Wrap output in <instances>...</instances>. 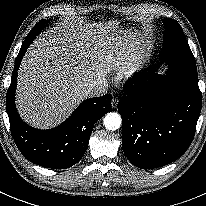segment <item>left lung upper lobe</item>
<instances>
[{
    "instance_id": "5c2ea615",
    "label": "left lung upper lobe",
    "mask_w": 206,
    "mask_h": 206,
    "mask_svg": "<svg viewBox=\"0 0 206 206\" xmlns=\"http://www.w3.org/2000/svg\"><path fill=\"white\" fill-rule=\"evenodd\" d=\"M161 62L188 70H196L195 58L190 50L182 28L177 21L166 18Z\"/></svg>"
}]
</instances>
